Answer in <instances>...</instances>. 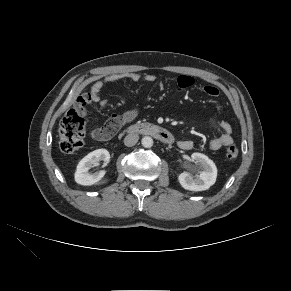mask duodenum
Returning <instances> with one entry per match:
<instances>
[{
    "instance_id": "410a0bca",
    "label": "duodenum",
    "mask_w": 291,
    "mask_h": 291,
    "mask_svg": "<svg viewBox=\"0 0 291 291\" xmlns=\"http://www.w3.org/2000/svg\"><path fill=\"white\" fill-rule=\"evenodd\" d=\"M127 132L130 134L149 135L166 144L174 142L173 135L167 129L156 124L143 123L131 125L128 127Z\"/></svg>"
}]
</instances>
